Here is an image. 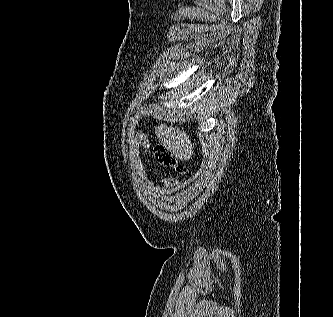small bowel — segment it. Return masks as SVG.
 Instances as JSON below:
<instances>
[{
  "instance_id": "obj_1",
  "label": "small bowel",
  "mask_w": 333,
  "mask_h": 317,
  "mask_svg": "<svg viewBox=\"0 0 333 317\" xmlns=\"http://www.w3.org/2000/svg\"><path fill=\"white\" fill-rule=\"evenodd\" d=\"M148 144L145 134H137L133 137L129 145V155L133 166L142 180H147L148 172L145 168L141 156V149L146 148ZM177 188L175 181L171 178H166L160 190L161 194H170Z\"/></svg>"
}]
</instances>
